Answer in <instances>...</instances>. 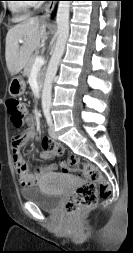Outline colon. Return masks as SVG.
I'll return each mask as SVG.
<instances>
[{"label":"colon","instance_id":"1","mask_svg":"<svg viewBox=\"0 0 133 253\" xmlns=\"http://www.w3.org/2000/svg\"><path fill=\"white\" fill-rule=\"evenodd\" d=\"M6 107L12 124L15 127H21L27 119V108L17 98H8ZM44 149L50 154L59 155L63 153V147L53 141L51 137H42ZM60 168L63 172L74 175H84L90 182L83 184L76 189L65 204V211L69 214H76L86 211L93 207L98 197H107L110 194V183L102 175L101 171L92 164H84L82 169L79 166V160L75 156H70L67 160L60 162Z\"/></svg>","mask_w":133,"mask_h":253}]
</instances>
